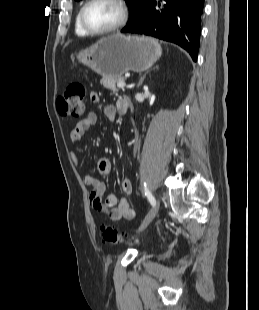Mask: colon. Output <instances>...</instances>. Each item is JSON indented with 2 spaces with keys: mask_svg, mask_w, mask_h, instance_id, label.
<instances>
[{
  "mask_svg": "<svg viewBox=\"0 0 259 310\" xmlns=\"http://www.w3.org/2000/svg\"><path fill=\"white\" fill-rule=\"evenodd\" d=\"M85 88L79 82L69 83L57 98V107L64 115L79 116L84 111ZM100 236L104 242L119 244L126 239V235L120 233L111 225H102Z\"/></svg>",
  "mask_w": 259,
  "mask_h": 310,
  "instance_id": "5ec220e1",
  "label": "colon"
}]
</instances>
